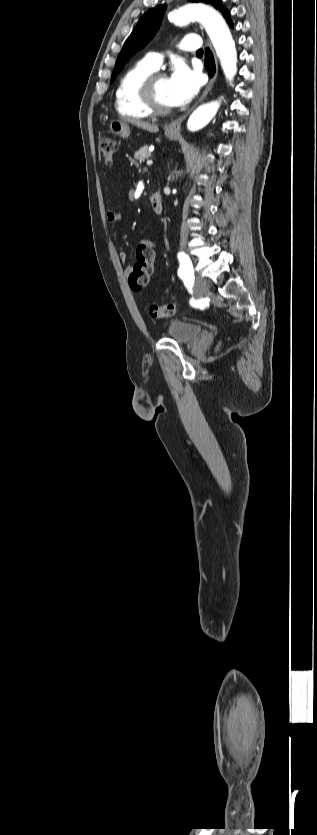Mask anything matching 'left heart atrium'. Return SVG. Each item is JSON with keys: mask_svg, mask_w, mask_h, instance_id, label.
<instances>
[{"mask_svg": "<svg viewBox=\"0 0 317 835\" xmlns=\"http://www.w3.org/2000/svg\"><path fill=\"white\" fill-rule=\"evenodd\" d=\"M199 87V76L185 64H177L168 78V95L171 105L180 106L188 103L196 95Z\"/></svg>", "mask_w": 317, "mask_h": 835, "instance_id": "1", "label": "left heart atrium"}]
</instances>
